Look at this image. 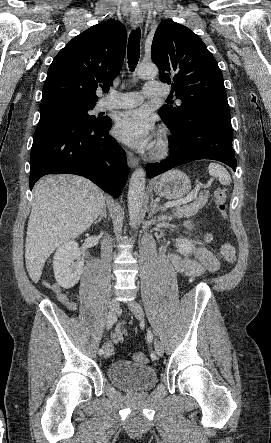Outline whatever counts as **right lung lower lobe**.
<instances>
[{
  "label": "right lung lower lobe",
  "instance_id": "obj_1",
  "mask_svg": "<svg viewBox=\"0 0 271 443\" xmlns=\"http://www.w3.org/2000/svg\"><path fill=\"white\" fill-rule=\"evenodd\" d=\"M111 120L89 125L73 118L39 121L30 156V189L47 174L86 177L115 198L127 181L126 154L109 135Z\"/></svg>",
  "mask_w": 271,
  "mask_h": 443
}]
</instances>
